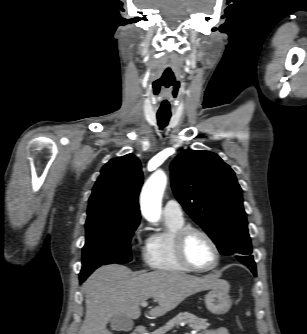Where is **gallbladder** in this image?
Masks as SVG:
<instances>
[{
  "label": "gallbladder",
  "instance_id": "1",
  "mask_svg": "<svg viewBox=\"0 0 307 334\" xmlns=\"http://www.w3.org/2000/svg\"><path fill=\"white\" fill-rule=\"evenodd\" d=\"M111 328L114 331H130L133 329V321L124 315H115L110 319Z\"/></svg>",
  "mask_w": 307,
  "mask_h": 334
}]
</instances>
